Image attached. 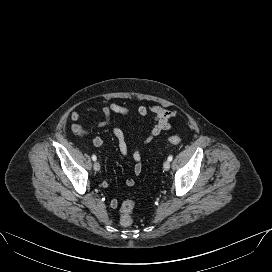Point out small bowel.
<instances>
[{"label":"small bowel","instance_id":"c3829d8e","mask_svg":"<svg viewBox=\"0 0 272 272\" xmlns=\"http://www.w3.org/2000/svg\"><path fill=\"white\" fill-rule=\"evenodd\" d=\"M97 108L95 107H87L81 111H74L71 114L72 121H78L85 114H95L97 113ZM101 112L103 114V119L98 120L97 124L99 127H110L111 132L115 139L117 140L118 149L121 155L126 156L129 152L128 145L126 142L125 134L123 130L119 127L112 126V115L120 114V115H129L130 110L126 106L121 104L112 103L107 106H103L101 108ZM137 113L140 117L145 118L148 114L153 115L154 124L148 135L144 138L143 142L148 144L152 142L157 136H159L163 131L169 130L171 128V119L175 117L176 113L171 111L161 105L153 104L150 106H139L137 109ZM93 145L97 148H103L105 145L104 140L96 136L92 140ZM134 161V174L139 176L142 173V156L141 152L138 149H135L132 154ZM128 187H132L135 184V180L131 177L127 178L125 181ZM106 183H103V186L106 187ZM118 206V200L112 199L110 201V207L116 208Z\"/></svg>","mask_w":272,"mask_h":272}]
</instances>
